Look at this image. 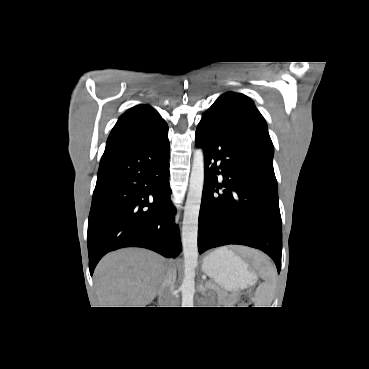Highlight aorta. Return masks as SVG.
<instances>
[{
    "label": "aorta",
    "instance_id": "1",
    "mask_svg": "<svg viewBox=\"0 0 369 369\" xmlns=\"http://www.w3.org/2000/svg\"><path fill=\"white\" fill-rule=\"evenodd\" d=\"M204 185V153L196 149L190 175L189 190L182 222L184 277L181 284L182 307H193L195 268L198 264V217Z\"/></svg>",
    "mask_w": 369,
    "mask_h": 369
}]
</instances>
